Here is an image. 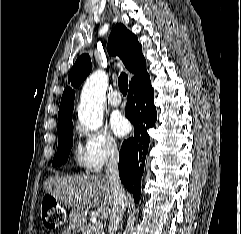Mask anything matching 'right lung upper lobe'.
<instances>
[{"label": "right lung upper lobe", "mask_w": 241, "mask_h": 234, "mask_svg": "<svg viewBox=\"0 0 241 234\" xmlns=\"http://www.w3.org/2000/svg\"><path fill=\"white\" fill-rule=\"evenodd\" d=\"M107 50L110 55H118L126 68L135 74L129 85L147 74L142 46L137 37L123 24L119 23L113 28L108 39ZM91 66L88 54L80 56L69 73L68 83L73 87H78L90 73ZM74 96V91L67 86L62 95L58 112V131L73 126L71 113L74 107Z\"/></svg>", "instance_id": "1"}]
</instances>
